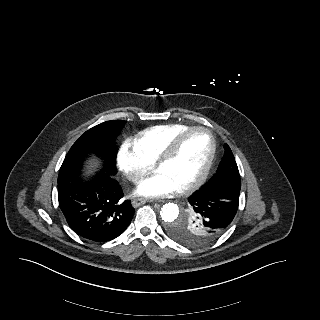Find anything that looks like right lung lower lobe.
I'll use <instances>...</instances> for the list:
<instances>
[{"label": "right lung lower lobe", "mask_w": 320, "mask_h": 320, "mask_svg": "<svg viewBox=\"0 0 320 320\" xmlns=\"http://www.w3.org/2000/svg\"><path fill=\"white\" fill-rule=\"evenodd\" d=\"M119 183L104 171L90 181L77 176L58 184V200L68 225L81 237L99 243L121 235L135 209L123 201Z\"/></svg>", "instance_id": "obj_1"}]
</instances>
